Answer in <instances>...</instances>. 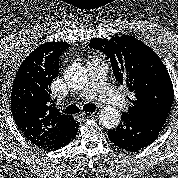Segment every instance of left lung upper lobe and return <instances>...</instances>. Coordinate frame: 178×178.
Segmentation results:
<instances>
[{
	"mask_svg": "<svg viewBox=\"0 0 178 178\" xmlns=\"http://www.w3.org/2000/svg\"><path fill=\"white\" fill-rule=\"evenodd\" d=\"M90 47L104 53L115 78L133 95L130 115H157L167 118L174 100L172 81L158 55L132 36L94 38Z\"/></svg>",
	"mask_w": 178,
	"mask_h": 178,
	"instance_id": "1",
	"label": "left lung upper lobe"
}]
</instances>
